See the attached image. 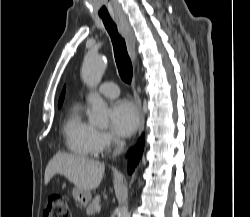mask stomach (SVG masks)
Here are the masks:
<instances>
[{"instance_id":"0dacf381","label":"stomach","mask_w":250,"mask_h":217,"mask_svg":"<svg viewBox=\"0 0 250 217\" xmlns=\"http://www.w3.org/2000/svg\"><path fill=\"white\" fill-rule=\"evenodd\" d=\"M73 198L81 207H86L91 200V191L75 188L73 190Z\"/></svg>"}]
</instances>
